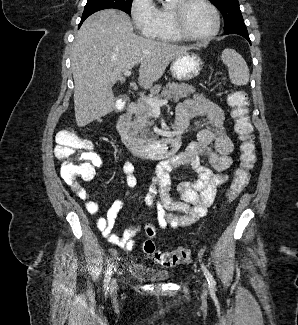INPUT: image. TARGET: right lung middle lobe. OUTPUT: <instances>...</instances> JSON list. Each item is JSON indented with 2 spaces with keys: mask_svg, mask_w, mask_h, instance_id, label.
<instances>
[{
  "mask_svg": "<svg viewBox=\"0 0 298 325\" xmlns=\"http://www.w3.org/2000/svg\"><path fill=\"white\" fill-rule=\"evenodd\" d=\"M131 4L132 0H88L81 20H85L89 15L99 10L108 8L119 9L130 14Z\"/></svg>",
  "mask_w": 298,
  "mask_h": 325,
  "instance_id": "obj_1",
  "label": "right lung middle lobe"
}]
</instances>
